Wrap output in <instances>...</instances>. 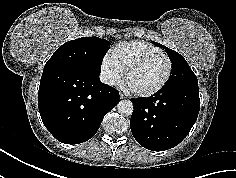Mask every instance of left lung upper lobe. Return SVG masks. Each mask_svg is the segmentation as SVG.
Listing matches in <instances>:
<instances>
[{"instance_id":"obj_1","label":"left lung upper lobe","mask_w":236,"mask_h":178,"mask_svg":"<svg viewBox=\"0 0 236 178\" xmlns=\"http://www.w3.org/2000/svg\"><path fill=\"white\" fill-rule=\"evenodd\" d=\"M158 47L165 49L168 54L171 63L172 70L169 80L165 86L181 84V85H198L197 77L191 70L190 66L178 52L161 45L160 43L153 42Z\"/></svg>"}]
</instances>
